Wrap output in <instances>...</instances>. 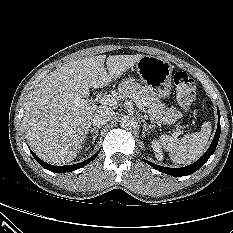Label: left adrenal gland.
Here are the masks:
<instances>
[{
  "mask_svg": "<svg viewBox=\"0 0 233 233\" xmlns=\"http://www.w3.org/2000/svg\"><path fill=\"white\" fill-rule=\"evenodd\" d=\"M142 123H143V134L142 135L143 137H145V133L146 132L150 133L149 129H152V126L151 125L147 126L146 121L144 119H142Z\"/></svg>",
  "mask_w": 233,
  "mask_h": 233,
  "instance_id": "obj_1",
  "label": "left adrenal gland"
}]
</instances>
